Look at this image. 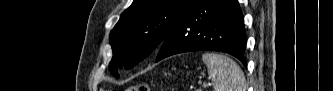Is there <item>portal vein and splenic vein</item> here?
Wrapping results in <instances>:
<instances>
[{
	"instance_id": "portal-vein-and-splenic-vein-1",
	"label": "portal vein and splenic vein",
	"mask_w": 333,
	"mask_h": 91,
	"mask_svg": "<svg viewBox=\"0 0 333 91\" xmlns=\"http://www.w3.org/2000/svg\"><path fill=\"white\" fill-rule=\"evenodd\" d=\"M208 84H203V86H207Z\"/></svg>"
}]
</instances>
